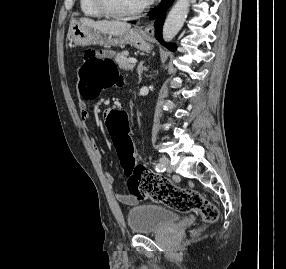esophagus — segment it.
Returning <instances> with one entry per match:
<instances>
[{
    "label": "esophagus",
    "mask_w": 286,
    "mask_h": 269,
    "mask_svg": "<svg viewBox=\"0 0 286 269\" xmlns=\"http://www.w3.org/2000/svg\"><path fill=\"white\" fill-rule=\"evenodd\" d=\"M144 30H145V32L148 33L149 35H153V34H154V31H155L153 24H148V25H146V26L144 27Z\"/></svg>",
    "instance_id": "34e87169"
}]
</instances>
